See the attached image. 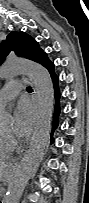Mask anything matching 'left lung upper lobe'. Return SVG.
I'll list each match as a JSON object with an SVG mask.
<instances>
[{"label":"left lung upper lobe","instance_id":"obj_1","mask_svg":"<svg viewBox=\"0 0 89 203\" xmlns=\"http://www.w3.org/2000/svg\"><path fill=\"white\" fill-rule=\"evenodd\" d=\"M12 50L17 56L25 57L35 62H38L43 52L31 36L25 32L14 31L0 44V64Z\"/></svg>","mask_w":89,"mask_h":203}]
</instances>
